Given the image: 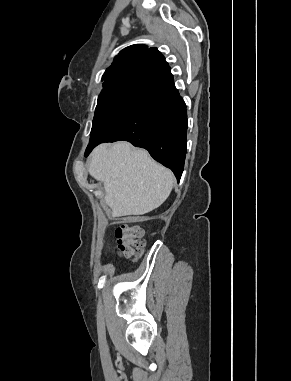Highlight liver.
Masks as SVG:
<instances>
[{
	"mask_svg": "<svg viewBox=\"0 0 291 381\" xmlns=\"http://www.w3.org/2000/svg\"><path fill=\"white\" fill-rule=\"evenodd\" d=\"M89 174L101 181L112 217L144 215L170 195L174 175L128 142L101 144L91 154Z\"/></svg>",
	"mask_w": 291,
	"mask_h": 381,
	"instance_id": "liver-1",
	"label": "liver"
}]
</instances>
